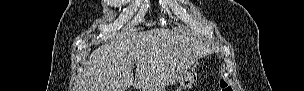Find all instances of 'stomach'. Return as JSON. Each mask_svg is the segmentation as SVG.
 Here are the masks:
<instances>
[{"mask_svg": "<svg viewBox=\"0 0 304 91\" xmlns=\"http://www.w3.org/2000/svg\"><path fill=\"white\" fill-rule=\"evenodd\" d=\"M197 62L196 64H194L192 70H187L185 72V74L182 76V78L179 80L180 82V85L182 87V89L187 90L189 88H191L195 82V79H196V66H197ZM157 91H166L165 88H160L158 89Z\"/></svg>", "mask_w": 304, "mask_h": 91, "instance_id": "obj_1", "label": "stomach"}]
</instances>
